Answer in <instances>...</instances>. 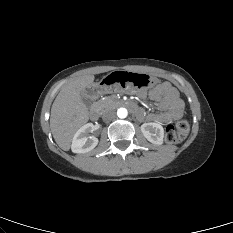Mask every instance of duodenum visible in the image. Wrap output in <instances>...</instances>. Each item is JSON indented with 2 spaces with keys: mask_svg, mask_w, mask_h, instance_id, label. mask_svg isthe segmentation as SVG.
Masks as SVG:
<instances>
[{
  "mask_svg": "<svg viewBox=\"0 0 233 233\" xmlns=\"http://www.w3.org/2000/svg\"><path fill=\"white\" fill-rule=\"evenodd\" d=\"M124 106L130 108L136 115H139L140 113V110L131 102H123L122 103ZM90 118L92 120H97L98 117H99V108L97 106H93L91 109H90Z\"/></svg>",
  "mask_w": 233,
  "mask_h": 233,
  "instance_id": "obj_1",
  "label": "duodenum"
}]
</instances>
